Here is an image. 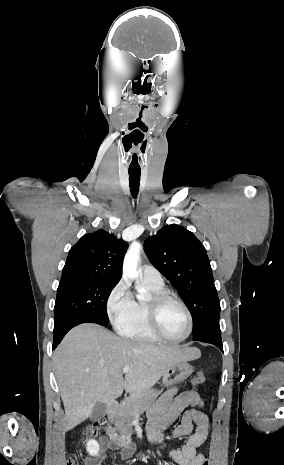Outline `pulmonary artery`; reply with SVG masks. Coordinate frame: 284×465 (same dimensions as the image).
<instances>
[{
	"mask_svg": "<svg viewBox=\"0 0 284 465\" xmlns=\"http://www.w3.org/2000/svg\"><path fill=\"white\" fill-rule=\"evenodd\" d=\"M141 278L145 283L148 284H163V279L160 272L156 268L148 265L142 266Z\"/></svg>",
	"mask_w": 284,
	"mask_h": 465,
	"instance_id": "obj_1",
	"label": "pulmonary artery"
}]
</instances>
